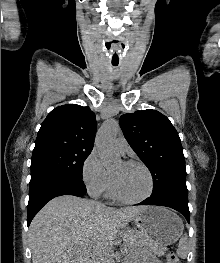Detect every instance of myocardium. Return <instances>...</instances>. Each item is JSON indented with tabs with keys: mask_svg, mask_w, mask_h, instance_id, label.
Segmentation results:
<instances>
[{
	"mask_svg": "<svg viewBox=\"0 0 220 263\" xmlns=\"http://www.w3.org/2000/svg\"><path fill=\"white\" fill-rule=\"evenodd\" d=\"M123 163L126 165H138V166L142 167L148 175L149 188H148L147 193L144 194L143 196L139 197V198L124 197L118 191V188H117V185L115 182V178H114L113 174L111 173L110 174V182H111V191H112L113 196L117 200H119L123 203H127V204H137V203H141V202L145 201L146 199H148L152 195L153 190H154V177H153L151 170L149 169V167L146 164H144L143 162L138 161V160H132V159L131 160H125V161H123Z\"/></svg>",
	"mask_w": 220,
	"mask_h": 263,
	"instance_id": "1",
	"label": "myocardium"
}]
</instances>
